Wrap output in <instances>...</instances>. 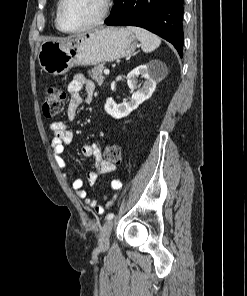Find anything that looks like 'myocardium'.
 <instances>
[{
    "label": "myocardium",
    "mask_w": 247,
    "mask_h": 296,
    "mask_svg": "<svg viewBox=\"0 0 247 296\" xmlns=\"http://www.w3.org/2000/svg\"><path fill=\"white\" fill-rule=\"evenodd\" d=\"M65 2H66V0L59 1L58 6H57V10H56L55 22H56L57 28L61 32L66 33V34H79V33L87 32V31H90L94 28L99 27L106 20L108 14H109V11H110V0H100L101 10H100L98 17L93 22H91L90 24H88L82 28L65 29L61 24V10H62V7Z\"/></svg>",
    "instance_id": "myocardium-1"
}]
</instances>
